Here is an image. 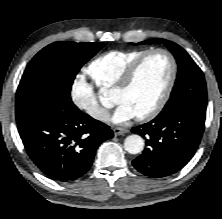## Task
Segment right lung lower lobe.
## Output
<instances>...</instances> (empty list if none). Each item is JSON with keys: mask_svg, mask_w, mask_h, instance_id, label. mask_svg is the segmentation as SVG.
Masks as SVG:
<instances>
[{"mask_svg": "<svg viewBox=\"0 0 222 219\" xmlns=\"http://www.w3.org/2000/svg\"><path fill=\"white\" fill-rule=\"evenodd\" d=\"M17 127L30 159L43 174L58 182L83 176L98 146L113 137L109 126L63 99L17 121Z\"/></svg>", "mask_w": 222, "mask_h": 219, "instance_id": "1", "label": "right lung lower lobe"}]
</instances>
